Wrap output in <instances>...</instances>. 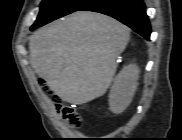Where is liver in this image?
<instances>
[{
	"label": "liver",
	"mask_w": 182,
	"mask_h": 140,
	"mask_svg": "<svg viewBox=\"0 0 182 140\" xmlns=\"http://www.w3.org/2000/svg\"><path fill=\"white\" fill-rule=\"evenodd\" d=\"M129 36V28L109 16L77 11L34 33L30 63L64 102L85 104L106 93Z\"/></svg>",
	"instance_id": "obj_1"
}]
</instances>
